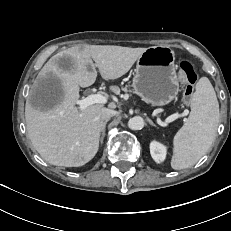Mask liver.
I'll return each instance as SVG.
<instances>
[{"mask_svg":"<svg viewBox=\"0 0 231 231\" xmlns=\"http://www.w3.org/2000/svg\"><path fill=\"white\" fill-rule=\"evenodd\" d=\"M146 49L84 44L62 50L47 61L36 85L57 81V102L42 109L34 107L29 98L25 106L28 137L45 161L55 166L79 167L94 158L99 148L104 106L98 103L80 110L76 106L80 87L94 84L96 68L105 80L120 78Z\"/></svg>","mask_w":231,"mask_h":231,"instance_id":"obj_1","label":"liver"}]
</instances>
